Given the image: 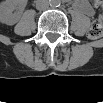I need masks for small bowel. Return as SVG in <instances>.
Wrapping results in <instances>:
<instances>
[{
  "label": "small bowel",
  "mask_w": 103,
  "mask_h": 103,
  "mask_svg": "<svg viewBox=\"0 0 103 103\" xmlns=\"http://www.w3.org/2000/svg\"><path fill=\"white\" fill-rule=\"evenodd\" d=\"M76 7L79 10V12L88 17L93 16L95 13L93 6L88 1H81L76 5Z\"/></svg>",
  "instance_id": "obj_1"
}]
</instances>
